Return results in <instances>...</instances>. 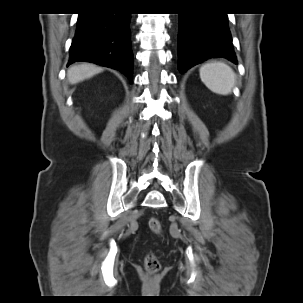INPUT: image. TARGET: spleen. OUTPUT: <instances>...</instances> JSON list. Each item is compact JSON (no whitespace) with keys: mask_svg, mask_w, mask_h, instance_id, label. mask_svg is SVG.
Returning a JSON list of instances; mask_svg holds the SVG:
<instances>
[{"mask_svg":"<svg viewBox=\"0 0 303 303\" xmlns=\"http://www.w3.org/2000/svg\"><path fill=\"white\" fill-rule=\"evenodd\" d=\"M200 78L213 93L228 95L231 93L236 76L231 67L219 61L210 62L200 67Z\"/></svg>","mask_w":303,"mask_h":303,"instance_id":"spleen-1","label":"spleen"}]
</instances>
